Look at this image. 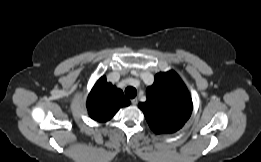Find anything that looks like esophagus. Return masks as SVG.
<instances>
[{
    "mask_svg": "<svg viewBox=\"0 0 261 162\" xmlns=\"http://www.w3.org/2000/svg\"><path fill=\"white\" fill-rule=\"evenodd\" d=\"M131 103H132V105H137L138 104V99L137 98H134V99H132L131 100Z\"/></svg>",
    "mask_w": 261,
    "mask_h": 162,
    "instance_id": "obj_1",
    "label": "esophagus"
}]
</instances>
